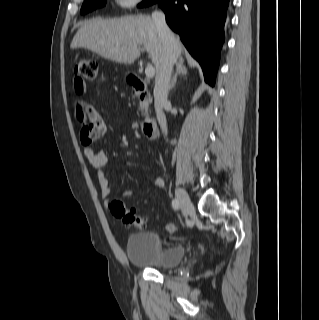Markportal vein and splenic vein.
Instances as JSON below:
<instances>
[{
	"label": "portal vein and splenic vein",
	"instance_id": "obj_1",
	"mask_svg": "<svg viewBox=\"0 0 319 320\" xmlns=\"http://www.w3.org/2000/svg\"><path fill=\"white\" fill-rule=\"evenodd\" d=\"M145 75L148 78H152L155 75V68L152 65H148L145 69Z\"/></svg>",
	"mask_w": 319,
	"mask_h": 320
}]
</instances>
